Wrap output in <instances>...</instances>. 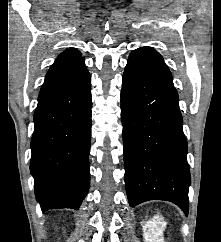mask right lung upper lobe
I'll use <instances>...</instances> for the list:
<instances>
[{
    "instance_id": "right-lung-upper-lobe-1",
    "label": "right lung upper lobe",
    "mask_w": 221,
    "mask_h": 242,
    "mask_svg": "<svg viewBox=\"0 0 221 242\" xmlns=\"http://www.w3.org/2000/svg\"><path fill=\"white\" fill-rule=\"evenodd\" d=\"M86 70L84 58L77 49L71 48L61 53L48 70L43 87L70 79Z\"/></svg>"
}]
</instances>
